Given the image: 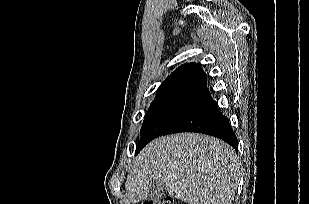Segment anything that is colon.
<instances>
[{
  "label": "colon",
  "instance_id": "obj_1",
  "mask_svg": "<svg viewBox=\"0 0 309 204\" xmlns=\"http://www.w3.org/2000/svg\"><path fill=\"white\" fill-rule=\"evenodd\" d=\"M143 204H173V201L171 198L166 197L162 200L148 199Z\"/></svg>",
  "mask_w": 309,
  "mask_h": 204
}]
</instances>
